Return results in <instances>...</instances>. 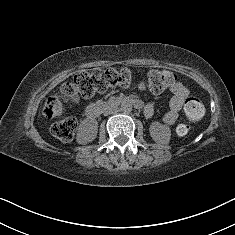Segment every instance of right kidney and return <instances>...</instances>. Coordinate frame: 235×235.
Returning a JSON list of instances; mask_svg holds the SVG:
<instances>
[{"instance_id":"obj_1","label":"right kidney","mask_w":235,"mask_h":235,"mask_svg":"<svg viewBox=\"0 0 235 235\" xmlns=\"http://www.w3.org/2000/svg\"><path fill=\"white\" fill-rule=\"evenodd\" d=\"M89 124H91L90 127H89ZM88 127L89 128H93L94 130H97V127H98L97 121H95V120H87L85 125L81 129L82 134H85L87 132ZM95 136H96V133H94L91 136H89L90 140H88V141H92L95 138Z\"/></svg>"}]
</instances>
